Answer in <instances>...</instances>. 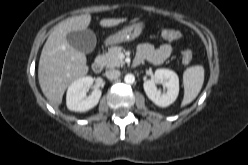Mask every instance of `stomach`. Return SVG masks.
<instances>
[{"instance_id":"1","label":"stomach","mask_w":248,"mask_h":165,"mask_svg":"<svg viewBox=\"0 0 248 165\" xmlns=\"http://www.w3.org/2000/svg\"><path fill=\"white\" fill-rule=\"evenodd\" d=\"M143 29H144V24L142 22L133 23L129 26L122 28L115 34L109 36L106 39V43L109 45H113V44L132 41L141 35Z\"/></svg>"}]
</instances>
